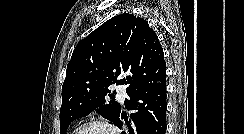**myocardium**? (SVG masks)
<instances>
[{
  "instance_id": "obj_1",
  "label": "myocardium",
  "mask_w": 244,
  "mask_h": 134,
  "mask_svg": "<svg viewBox=\"0 0 244 134\" xmlns=\"http://www.w3.org/2000/svg\"><path fill=\"white\" fill-rule=\"evenodd\" d=\"M97 126L105 129L109 134H118L116 129L110 123L104 120L93 119L80 124L72 134H79L82 130L88 127Z\"/></svg>"
}]
</instances>
